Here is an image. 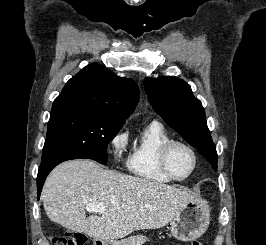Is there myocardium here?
Wrapping results in <instances>:
<instances>
[{
  "label": "myocardium",
  "instance_id": "1",
  "mask_svg": "<svg viewBox=\"0 0 266 245\" xmlns=\"http://www.w3.org/2000/svg\"><path fill=\"white\" fill-rule=\"evenodd\" d=\"M178 145L179 146H183L186 149H188L191 152V154L193 156V159H194V164H193V167H192L190 173L187 176L183 177V178L176 177L174 175V173L172 172L170 166H169V155H170V152L172 151V149L175 146H178ZM159 163H160V167H161L163 173L168 178H170L172 181L181 182V181L188 180L189 178H191L194 175V173L196 172L197 167H198L199 158H198V154H197L196 150L189 143H187L185 141L177 140V139H170L167 142H165L162 145V147L160 148V151H159Z\"/></svg>",
  "mask_w": 266,
  "mask_h": 245
}]
</instances>
